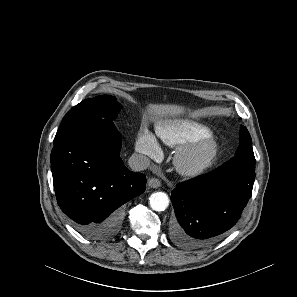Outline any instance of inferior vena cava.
<instances>
[{
    "label": "inferior vena cava",
    "mask_w": 297,
    "mask_h": 297,
    "mask_svg": "<svg viewBox=\"0 0 297 297\" xmlns=\"http://www.w3.org/2000/svg\"><path fill=\"white\" fill-rule=\"evenodd\" d=\"M129 167L134 171H143L150 165V160L147 156L134 153L128 160Z\"/></svg>",
    "instance_id": "1"
}]
</instances>
